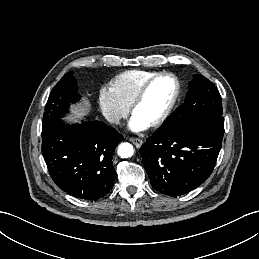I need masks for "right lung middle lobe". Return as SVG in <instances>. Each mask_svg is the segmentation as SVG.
I'll use <instances>...</instances> for the list:
<instances>
[{
    "label": "right lung middle lobe",
    "instance_id": "dd1d6c3e",
    "mask_svg": "<svg viewBox=\"0 0 259 259\" xmlns=\"http://www.w3.org/2000/svg\"><path fill=\"white\" fill-rule=\"evenodd\" d=\"M73 73V71L66 73L54 86L45 107L42 132L48 130L53 122L67 113L70 103L76 102L80 98Z\"/></svg>",
    "mask_w": 259,
    "mask_h": 259
}]
</instances>
